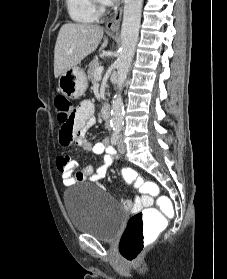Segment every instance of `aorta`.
Returning a JSON list of instances; mask_svg holds the SVG:
<instances>
[{
	"instance_id": "762f6f07",
	"label": "aorta",
	"mask_w": 227,
	"mask_h": 279,
	"mask_svg": "<svg viewBox=\"0 0 227 279\" xmlns=\"http://www.w3.org/2000/svg\"><path fill=\"white\" fill-rule=\"evenodd\" d=\"M143 0H125L123 22L121 27V50L116 61L118 92L114 96L111 109V126L120 130L124 119V106L121 90L127 79L129 68L135 53L138 41L141 9Z\"/></svg>"
}]
</instances>
